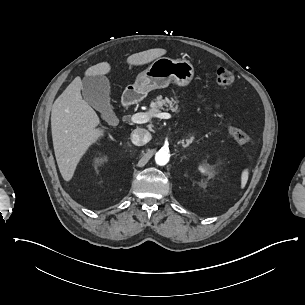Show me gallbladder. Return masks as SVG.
Masks as SVG:
<instances>
[{
	"instance_id": "1",
	"label": "gallbladder",
	"mask_w": 305,
	"mask_h": 305,
	"mask_svg": "<svg viewBox=\"0 0 305 305\" xmlns=\"http://www.w3.org/2000/svg\"><path fill=\"white\" fill-rule=\"evenodd\" d=\"M81 90L84 100L99 111L105 121L109 122L115 117L110 105V82L106 76H85Z\"/></svg>"
}]
</instances>
